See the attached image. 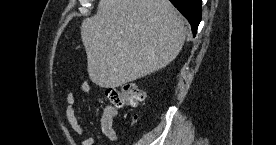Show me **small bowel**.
<instances>
[{
    "label": "small bowel",
    "instance_id": "1",
    "mask_svg": "<svg viewBox=\"0 0 276 145\" xmlns=\"http://www.w3.org/2000/svg\"><path fill=\"white\" fill-rule=\"evenodd\" d=\"M80 92L87 94L90 92V84L83 82L80 85ZM65 116L68 125L75 133L84 136L81 145H94V137L78 121L76 116V95L69 92L66 95ZM100 127L103 135L111 142H117L118 136L113 128V119L111 114H103L100 119Z\"/></svg>",
    "mask_w": 276,
    "mask_h": 145
}]
</instances>
